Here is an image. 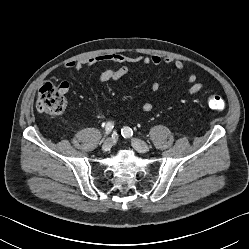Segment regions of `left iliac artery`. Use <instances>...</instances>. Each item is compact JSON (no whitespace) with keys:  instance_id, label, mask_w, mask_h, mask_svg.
Segmentation results:
<instances>
[{"instance_id":"left-iliac-artery-1","label":"left iliac artery","mask_w":249,"mask_h":249,"mask_svg":"<svg viewBox=\"0 0 249 249\" xmlns=\"http://www.w3.org/2000/svg\"><path fill=\"white\" fill-rule=\"evenodd\" d=\"M121 134L123 135V137L128 138L133 135V130L129 127H124L121 130Z\"/></svg>"}]
</instances>
